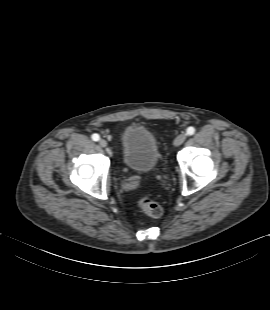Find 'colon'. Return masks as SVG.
<instances>
[{
    "label": "colon",
    "mask_w": 270,
    "mask_h": 310,
    "mask_svg": "<svg viewBox=\"0 0 270 310\" xmlns=\"http://www.w3.org/2000/svg\"><path fill=\"white\" fill-rule=\"evenodd\" d=\"M138 204L141 211L149 217L159 218L163 214L162 206L152 198L142 197Z\"/></svg>",
    "instance_id": "obj_1"
}]
</instances>
